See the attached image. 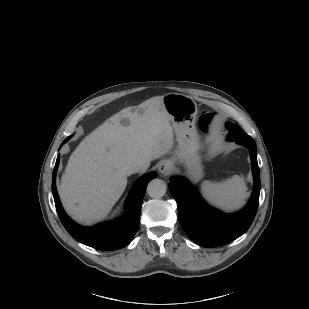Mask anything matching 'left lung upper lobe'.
Returning <instances> with one entry per match:
<instances>
[{
	"mask_svg": "<svg viewBox=\"0 0 309 309\" xmlns=\"http://www.w3.org/2000/svg\"><path fill=\"white\" fill-rule=\"evenodd\" d=\"M226 127L230 131L229 135L227 136V139H230L231 137H248L249 136L242 129H239L237 126L233 124L227 123Z\"/></svg>",
	"mask_w": 309,
	"mask_h": 309,
	"instance_id": "5c2ea615",
	"label": "left lung upper lobe"
}]
</instances>
